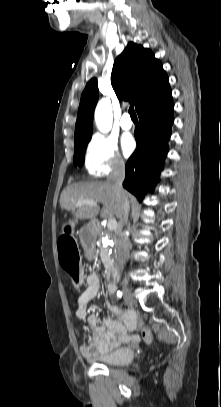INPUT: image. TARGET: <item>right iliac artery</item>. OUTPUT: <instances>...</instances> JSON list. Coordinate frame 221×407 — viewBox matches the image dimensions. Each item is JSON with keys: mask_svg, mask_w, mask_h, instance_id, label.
I'll use <instances>...</instances> for the list:
<instances>
[{"mask_svg": "<svg viewBox=\"0 0 221 407\" xmlns=\"http://www.w3.org/2000/svg\"><path fill=\"white\" fill-rule=\"evenodd\" d=\"M117 296L122 297V292L118 291Z\"/></svg>", "mask_w": 221, "mask_h": 407, "instance_id": "obj_1", "label": "right iliac artery"}]
</instances>
